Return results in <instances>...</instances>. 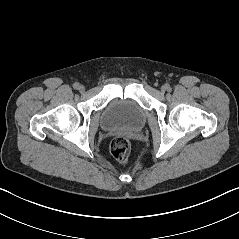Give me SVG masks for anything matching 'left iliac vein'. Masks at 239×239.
<instances>
[{
  "label": "left iliac vein",
  "instance_id": "1",
  "mask_svg": "<svg viewBox=\"0 0 239 239\" xmlns=\"http://www.w3.org/2000/svg\"><path fill=\"white\" fill-rule=\"evenodd\" d=\"M161 91H162V92H165V91H166V86H162V87H161Z\"/></svg>",
  "mask_w": 239,
  "mask_h": 239
}]
</instances>
